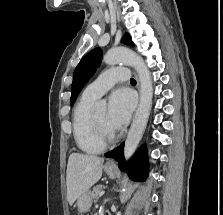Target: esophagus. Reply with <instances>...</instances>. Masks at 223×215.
I'll list each match as a JSON object with an SVG mask.
<instances>
[{"instance_id":"34e87169","label":"esophagus","mask_w":223,"mask_h":215,"mask_svg":"<svg viewBox=\"0 0 223 215\" xmlns=\"http://www.w3.org/2000/svg\"><path fill=\"white\" fill-rule=\"evenodd\" d=\"M134 74H135V72H134ZM135 76H136V74H135ZM136 78H137V76H136ZM137 87H138V90H139V89H140V85H139L138 78H137ZM107 165L115 166L116 163H115L114 160H111V161H109V162L107 163Z\"/></svg>"}]
</instances>
